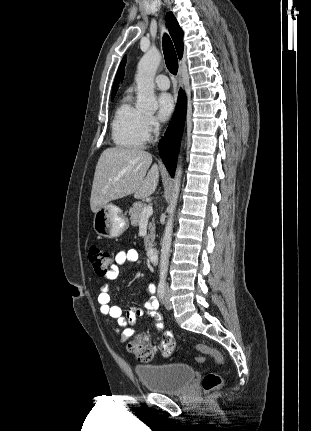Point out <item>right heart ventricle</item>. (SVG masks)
Wrapping results in <instances>:
<instances>
[{"label":"right heart ventricle","mask_w":311,"mask_h":431,"mask_svg":"<svg viewBox=\"0 0 311 431\" xmlns=\"http://www.w3.org/2000/svg\"><path fill=\"white\" fill-rule=\"evenodd\" d=\"M111 138L118 149L136 150L144 147L148 139L146 114L124 97L116 107Z\"/></svg>","instance_id":"1"}]
</instances>
